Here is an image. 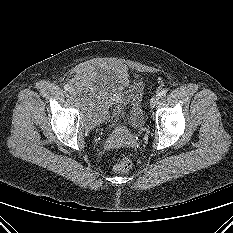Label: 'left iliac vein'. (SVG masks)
I'll return each mask as SVG.
<instances>
[{"label": "left iliac vein", "mask_w": 233, "mask_h": 233, "mask_svg": "<svg viewBox=\"0 0 233 233\" xmlns=\"http://www.w3.org/2000/svg\"><path fill=\"white\" fill-rule=\"evenodd\" d=\"M160 96L154 95L150 100V106L153 108L159 101Z\"/></svg>", "instance_id": "1"}]
</instances>
